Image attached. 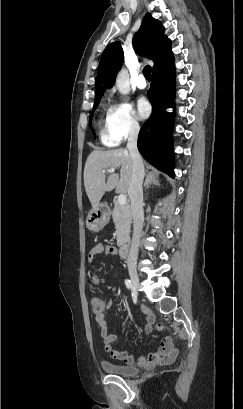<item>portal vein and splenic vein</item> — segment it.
<instances>
[{
	"mask_svg": "<svg viewBox=\"0 0 243 409\" xmlns=\"http://www.w3.org/2000/svg\"><path fill=\"white\" fill-rule=\"evenodd\" d=\"M102 172H108V173H114L115 169L114 168H110L107 170H103ZM119 205H125L127 203V196L125 194H119L118 196V200H117Z\"/></svg>",
	"mask_w": 243,
	"mask_h": 409,
	"instance_id": "portal-vein-and-splenic-vein-1",
	"label": "portal vein and splenic vein"
}]
</instances>
